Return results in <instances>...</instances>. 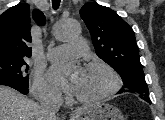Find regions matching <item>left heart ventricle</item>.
I'll use <instances>...</instances> for the list:
<instances>
[{"mask_svg": "<svg viewBox=\"0 0 165 120\" xmlns=\"http://www.w3.org/2000/svg\"><path fill=\"white\" fill-rule=\"evenodd\" d=\"M112 84L110 75L102 69H85L75 95L83 99L95 98Z\"/></svg>", "mask_w": 165, "mask_h": 120, "instance_id": "obj_1", "label": "left heart ventricle"}]
</instances>
